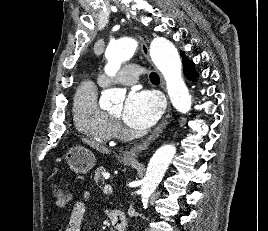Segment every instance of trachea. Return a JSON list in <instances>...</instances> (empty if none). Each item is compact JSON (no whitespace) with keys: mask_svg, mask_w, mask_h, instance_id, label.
Returning a JSON list of instances; mask_svg holds the SVG:
<instances>
[{"mask_svg":"<svg viewBox=\"0 0 268 231\" xmlns=\"http://www.w3.org/2000/svg\"><path fill=\"white\" fill-rule=\"evenodd\" d=\"M150 80L151 81H155V82H159V76L157 75V73H155V72H152L151 74H150Z\"/></svg>","mask_w":268,"mask_h":231,"instance_id":"3493384b","label":"trachea"}]
</instances>
